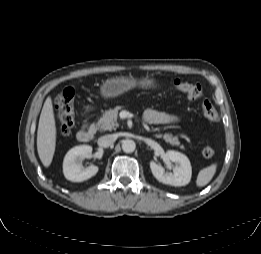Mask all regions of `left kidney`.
Segmentation results:
<instances>
[{"instance_id":"1","label":"left kidney","mask_w":261,"mask_h":254,"mask_svg":"<svg viewBox=\"0 0 261 254\" xmlns=\"http://www.w3.org/2000/svg\"><path fill=\"white\" fill-rule=\"evenodd\" d=\"M165 160L176 164V166L173 167V173L165 172L162 166L158 165L154 161H151L150 169L153 176L163 184L172 186L187 185L192 176V168L187 156L174 150H168L165 153Z\"/></svg>"}]
</instances>
